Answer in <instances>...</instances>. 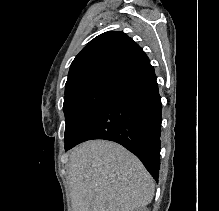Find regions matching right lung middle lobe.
Masks as SVG:
<instances>
[{"mask_svg":"<svg viewBox=\"0 0 219 211\" xmlns=\"http://www.w3.org/2000/svg\"><path fill=\"white\" fill-rule=\"evenodd\" d=\"M114 87L97 85L64 99L65 150L70 149L82 129Z\"/></svg>","mask_w":219,"mask_h":211,"instance_id":"obj_1","label":"right lung middle lobe"}]
</instances>
